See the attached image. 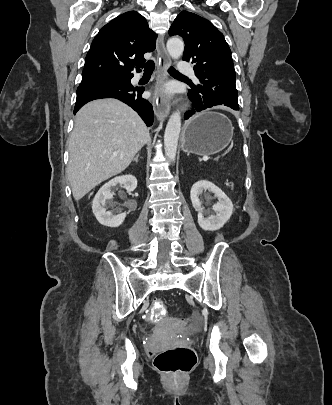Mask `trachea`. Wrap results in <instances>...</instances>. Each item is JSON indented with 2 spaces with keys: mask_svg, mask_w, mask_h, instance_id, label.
<instances>
[{
  "mask_svg": "<svg viewBox=\"0 0 332 405\" xmlns=\"http://www.w3.org/2000/svg\"><path fill=\"white\" fill-rule=\"evenodd\" d=\"M139 67L144 69V73L145 74H151L154 71L155 68V64L152 60H149L147 63L145 64H138ZM168 72L170 74H177V75H181L176 69H174L173 67H170Z\"/></svg>",
  "mask_w": 332,
  "mask_h": 405,
  "instance_id": "obj_1",
  "label": "trachea"
}]
</instances>
